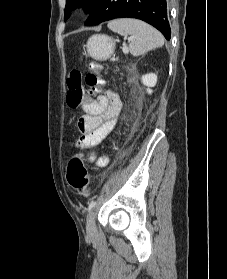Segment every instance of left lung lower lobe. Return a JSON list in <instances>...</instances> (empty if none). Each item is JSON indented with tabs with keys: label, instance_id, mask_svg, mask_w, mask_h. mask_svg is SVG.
Instances as JSON below:
<instances>
[{
	"label": "left lung lower lobe",
	"instance_id": "1",
	"mask_svg": "<svg viewBox=\"0 0 227 279\" xmlns=\"http://www.w3.org/2000/svg\"><path fill=\"white\" fill-rule=\"evenodd\" d=\"M124 17L143 20L157 28L167 40L170 39L166 0H97L85 25Z\"/></svg>",
	"mask_w": 227,
	"mask_h": 279
}]
</instances>
